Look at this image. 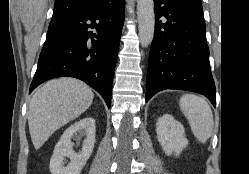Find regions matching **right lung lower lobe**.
<instances>
[{"mask_svg": "<svg viewBox=\"0 0 249 174\" xmlns=\"http://www.w3.org/2000/svg\"><path fill=\"white\" fill-rule=\"evenodd\" d=\"M124 16L125 0H116L50 25L29 93L49 79L74 77L99 92L110 108Z\"/></svg>", "mask_w": 249, "mask_h": 174, "instance_id": "1", "label": "right lung lower lobe"}]
</instances>
